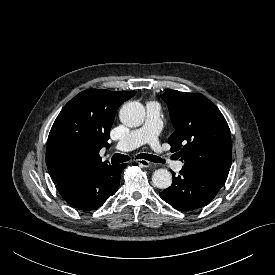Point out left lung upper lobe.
<instances>
[{
  "mask_svg": "<svg viewBox=\"0 0 275 275\" xmlns=\"http://www.w3.org/2000/svg\"><path fill=\"white\" fill-rule=\"evenodd\" d=\"M168 104L175 131L169 138L183 168L226 181L232 145L229 126L219 109L205 96L168 90L161 95Z\"/></svg>",
  "mask_w": 275,
  "mask_h": 275,
  "instance_id": "obj_1",
  "label": "left lung upper lobe"
}]
</instances>
